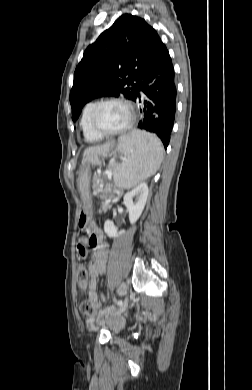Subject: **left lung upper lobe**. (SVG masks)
<instances>
[{"label":"left lung upper lobe","mask_w":252,"mask_h":390,"mask_svg":"<svg viewBox=\"0 0 252 390\" xmlns=\"http://www.w3.org/2000/svg\"><path fill=\"white\" fill-rule=\"evenodd\" d=\"M162 45L144 19L130 14L119 17L85 50L76 67L70 92L72 120L97 97L124 95L134 101L140 80Z\"/></svg>","instance_id":"5c2ea615"}]
</instances>
